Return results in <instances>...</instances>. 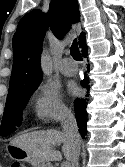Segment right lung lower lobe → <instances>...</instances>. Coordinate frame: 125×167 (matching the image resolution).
Returning a JSON list of instances; mask_svg holds the SVG:
<instances>
[{
	"label": "right lung lower lobe",
	"mask_w": 125,
	"mask_h": 167,
	"mask_svg": "<svg viewBox=\"0 0 125 167\" xmlns=\"http://www.w3.org/2000/svg\"><path fill=\"white\" fill-rule=\"evenodd\" d=\"M82 48V55L83 57H87V46L86 43L83 44ZM88 71H89V65H88ZM82 87L86 88L89 90V78L87 74L85 73L84 79L81 81ZM86 104H87V99H76L74 101V107H75V117L77 120V124L79 127V132L82 136V138L85 137L86 135V123H87V113H86Z\"/></svg>",
	"instance_id": "right-lung-lower-lobe-1"
}]
</instances>
